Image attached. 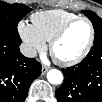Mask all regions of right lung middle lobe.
Returning <instances> with one entry per match:
<instances>
[{"instance_id": "1", "label": "right lung middle lobe", "mask_w": 102, "mask_h": 102, "mask_svg": "<svg viewBox=\"0 0 102 102\" xmlns=\"http://www.w3.org/2000/svg\"><path fill=\"white\" fill-rule=\"evenodd\" d=\"M30 11L31 9L24 4L0 2V33H18L19 21Z\"/></svg>"}]
</instances>
